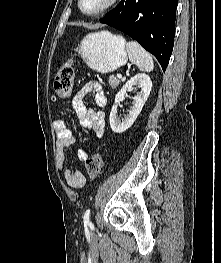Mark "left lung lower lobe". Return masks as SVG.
I'll list each match as a JSON object with an SVG mask.
<instances>
[{
	"instance_id": "left-lung-lower-lobe-1",
	"label": "left lung lower lobe",
	"mask_w": 221,
	"mask_h": 263,
	"mask_svg": "<svg viewBox=\"0 0 221 263\" xmlns=\"http://www.w3.org/2000/svg\"><path fill=\"white\" fill-rule=\"evenodd\" d=\"M176 8L177 0H121L100 23L138 41L165 71L174 45Z\"/></svg>"
}]
</instances>
